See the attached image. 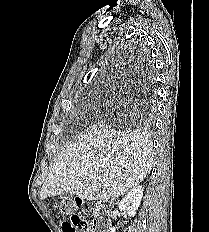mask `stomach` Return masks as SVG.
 <instances>
[{
  "mask_svg": "<svg viewBox=\"0 0 209 232\" xmlns=\"http://www.w3.org/2000/svg\"><path fill=\"white\" fill-rule=\"evenodd\" d=\"M60 214H77V209L73 205L72 198H63L58 202Z\"/></svg>",
  "mask_w": 209,
  "mask_h": 232,
  "instance_id": "0dacf381",
  "label": "stomach"
}]
</instances>
